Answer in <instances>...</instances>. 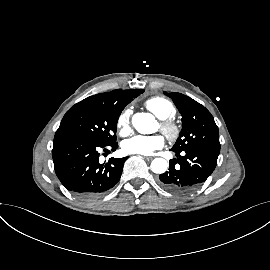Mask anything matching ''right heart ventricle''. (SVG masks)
Here are the masks:
<instances>
[{"mask_svg": "<svg viewBox=\"0 0 270 270\" xmlns=\"http://www.w3.org/2000/svg\"><path fill=\"white\" fill-rule=\"evenodd\" d=\"M145 107L159 119L172 118L176 114V108L173 103L159 96L146 100Z\"/></svg>", "mask_w": 270, "mask_h": 270, "instance_id": "obj_1", "label": "right heart ventricle"}]
</instances>
